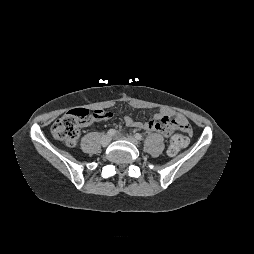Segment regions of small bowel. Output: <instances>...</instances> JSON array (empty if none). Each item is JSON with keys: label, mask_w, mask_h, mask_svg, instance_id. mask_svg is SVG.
<instances>
[{"label": "small bowel", "mask_w": 254, "mask_h": 254, "mask_svg": "<svg viewBox=\"0 0 254 254\" xmlns=\"http://www.w3.org/2000/svg\"><path fill=\"white\" fill-rule=\"evenodd\" d=\"M112 114L104 111H99V116L95 119L86 121L84 124L89 125L93 121L109 120ZM174 120L185 121V119L168 107H162L153 117L152 120L138 121L130 116H125L124 122L127 126L133 128L144 129L150 132H158L165 136H170L172 132L171 123Z\"/></svg>", "instance_id": "small-bowel-1"}]
</instances>
